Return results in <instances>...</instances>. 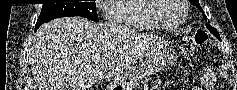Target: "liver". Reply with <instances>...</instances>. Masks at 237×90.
Listing matches in <instances>:
<instances>
[{
    "mask_svg": "<svg viewBox=\"0 0 237 90\" xmlns=\"http://www.w3.org/2000/svg\"><path fill=\"white\" fill-rule=\"evenodd\" d=\"M31 58L39 90H89L121 72L120 30L85 18H58L34 34Z\"/></svg>",
    "mask_w": 237,
    "mask_h": 90,
    "instance_id": "6515ba94",
    "label": "liver"
}]
</instances>
